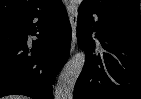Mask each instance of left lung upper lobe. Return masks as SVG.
I'll list each match as a JSON object with an SVG mask.
<instances>
[{"instance_id":"1","label":"left lung upper lobe","mask_w":141,"mask_h":99,"mask_svg":"<svg viewBox=\"0 0 141 99\" xmlns=\"http://www.w3.org/2000/svg\"><path fill=\"white\" fill-rule=\"evenodd\" d=\"M82 4L113 19L140 21L138 0H83Z\"/></svg>"}]
</instances>
